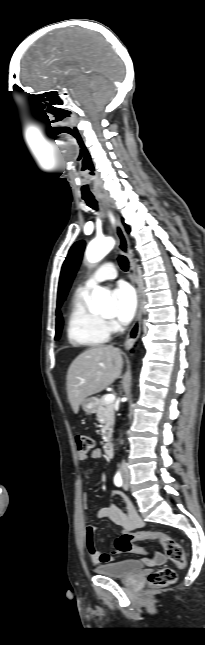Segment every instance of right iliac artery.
Here are the masks:
<instances>
[{
  "label": "right iliac artery",
  "instance_id": "1",
  "mask_svg": "<svg viewBox=\"0 0 205 645\" xmlns=\"http://www.w3.org/2000/svg\"><path fill=\"white\" fill-rule=\"evenodd\" d=\"M114 483L118 487H120L122 485V477H121V474L119 472L114 477Z\"/></svg>",
  "mask_w": 205,
  "mask_h": 645
}]
</instances>
